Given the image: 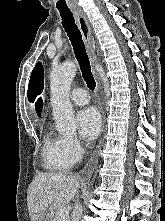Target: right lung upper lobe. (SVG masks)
<instances>
[{
    "instance_id": "1",
    "label": "right lung upper lobe",
    "mask_w": 165,
    "mask_h": 221,
    "mask_svg": "<svg viewBox=\"0 0 165 221\" xmlns=\"http://www.w3.org/2000/svg\"><path fill=\"white\" fill-rule=\"evenodd\" d=\"M44 73L41 63H37L33 69L28 86V100L34 102V99L43 90Z\"/></svg>"
}]
</instances>
